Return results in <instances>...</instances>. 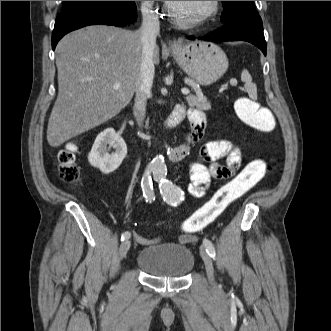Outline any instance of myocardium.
I'll return each mask as SVG.
<instances>
[{
  "instance_id": "myocardium-1",
  "label": "myocardium",
  "mask_w": 331,
  "mask_h": 331,
  "mask_svg": "<svg viewBox=\"0 0 331 331\" xmlns=\"http://www.w3.org/2000/svg\"><path fill=\"white\" fill-rule=\"evenodd\" d=\"M220 1H210L208 10L197 17L190 19L179 18L172 10L171 5H167V14L171 21L181 27H194L201 25L213 18L219 11Z\"/></svg>"
}]
</instances>
